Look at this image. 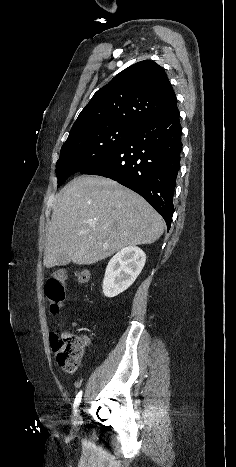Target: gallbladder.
Wrapping results in <instances>:
<instances>
[{
    "label": "gallbladder",
    "instance_id": "obj_1",
    "mask_svg": "<svg viewBox=\"0 0 236 467\" xmlns=\"http://www.w3.org/2000/svg\"><path fill=\"white\" fill-rule=\"evenodd\" d=\"M59 259H60L61 265H67L70 262V260L68 259V257L65 254H61L59 256Z\"/></svg>",
    "mask_w": 236,
    "mask_h": 467
}]
</instances>
